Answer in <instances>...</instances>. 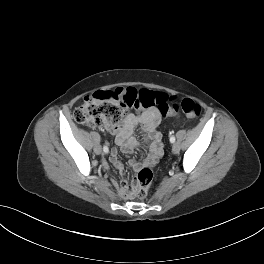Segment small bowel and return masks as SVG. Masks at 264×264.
I'll list each match as a JSON object with an SVG mask.
<instances>
[{
  "instance_id": "1",
  "label": "small bowel",
  "mask_w": 264,
  "mask_h": 264,
  "mask_svg": "<svg viewBox=\"0 0 264 264\" xmlns=\"http://www.w3.org/2000/svg\"><path fill=\"white\" fill-rule=\"evenodd\" d=\"M160 122V113L157 109H147L139 114H128L121 126L109 128L110 132L116 135V142L124 152H129L138 146V141L132 137L134 128L141 125L146 133V140L150 142L149 155L143 161L138 163L132 161L130 163L134 170L142 167L154 166L162 155L161 136L156 130ZM111 162L119 170L122 171V163L118 159V154L113 151L111 154ZM118 193L123 198L131 197L130 190L126 181H123L118 189Z\"/></svg>"
}]
</instances>
